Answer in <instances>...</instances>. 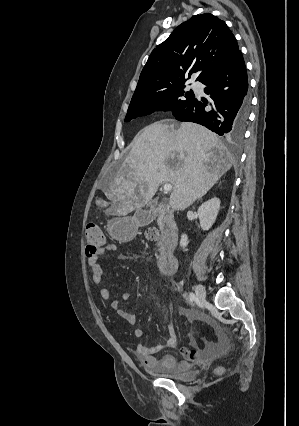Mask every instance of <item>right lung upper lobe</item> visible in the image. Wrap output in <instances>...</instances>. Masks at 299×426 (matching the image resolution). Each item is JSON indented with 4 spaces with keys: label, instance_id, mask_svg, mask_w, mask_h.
<instances>
[{
    "label": "right lung upper lobe",
    "instance_id": "obj_1",
    "mask_svg": "<svg viewBox=\"0 0 299 426\" xmlns=\"http://www.w3.org/2000/svg\"><path fill=\"white\" fill-rule=\"evenodd\" d=\"M240 53L226 23L210 13L180 24L150 54L131 101L184 84L192 73L197 81L227 66Z\"/></svg>",
    "mask_w": 299,
    "mask_h": 426
}]
</instances>
